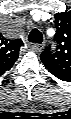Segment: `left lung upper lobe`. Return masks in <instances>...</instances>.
Wrapping results in <instances>:
<instances>
[{
    "label": "left lung upper lobe",
    "mask_w": 71,
    "mask_h": 119,
    "mask_svg": "<svg viewBox=\"0 0 71 119\" xmlns=\"http://www.w3.org/2000/svg\"><path fill=\"white\" fill-rule=\"evenodd\" d=\"M54 16L57 47L55 50L47 47L40 58L47 69L71 73V10Z\"/></svg>",
    "instance_id": "left-lung-upper-lobe-1"
}]
</instances>
